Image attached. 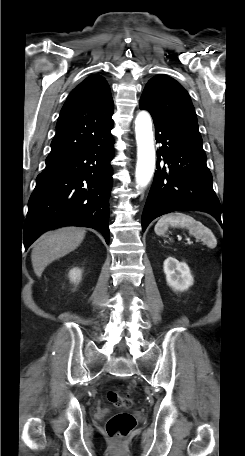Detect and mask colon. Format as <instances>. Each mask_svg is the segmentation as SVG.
Instances as JSON below:
<instances>
[{
	"instance_id": "1",
	"label": "colon",
	"mask_w": 245,
	"mask_h": 456,
	"mask_svg": "<svg viewBox=\"0 0 245 456\" xmlns=\"http://www.w3.org/2000/svg\"><path fill=\"white\" fill-rule=\"evenodd\" d=\"M107 398L110 403L119 408L128 409L132 406V399L128 395H122L118 391L111 390ZM136 420L128 412H120L113 415L106 424L107 434L114 439L126 437L135 427Z\"/></svg>"
}]
</instances>
